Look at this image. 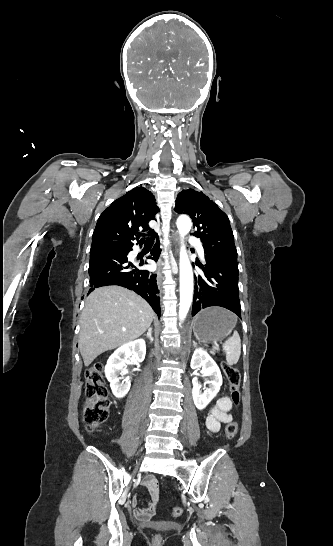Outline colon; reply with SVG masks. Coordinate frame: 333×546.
Instances as JSON below:
<instances>
[{
	"label": "colon",
	"mask_w": 333,
	"mask_h": 546,
	"mask_svg": "<svg viewBox=\"0 0 333 546\" xmlns=\"http://www.w3.org/2000/svg\"><path fill=\"white\" fill-rule=\"evenodd\" d=\"M222 369L227 379L231 401L234 405L240 402L239 386L241 375L238 368L223 362ZM86 402L84 406L83 420L87 431L96 430L106 419L109 409V400L107 397V388L103 377L102 364H95L86 371ZM238 432V424L234 421L229 422L225 427V436L232 439ZM183 513V509L179 506L174 507L171 511L173 517H179ZM160 537L156 536L155 541H159Z\"/></svg>",
	"instance_id": "obj_1"
}]
</instances>
